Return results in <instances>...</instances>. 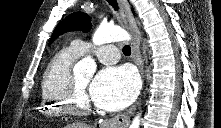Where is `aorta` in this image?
Instances as JSON below:
<instances>
[{"label": "aorta", "mask_w": 221, "mask_h": 128, "mask_svg": "<svg viewBox=\"0 0 221 128\" xmlns=\"http://www.w3.org/2000/svg\"><path fill=\"white\" fill-rule=\"evenodd\" d=\"M130 35L124 29L117 26L100 25L95 31L92 41L94 45H102L105 43L129 41ZM96 70L95 60L91 56H87L80 60L74 67L75 75H84L91 78ZM141 121V113H138L132 120L129 128H139Z\"/></svg>", "instance_id": "obj_1"}]
</instances>
